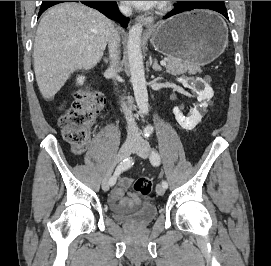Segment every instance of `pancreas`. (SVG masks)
<instances>
[{"label": "pancreas", "instance_id": "1", "mask_svg": "<svg viewBox=\"0 0 271 266\" xmlns=\"http://www.w3.org/2000/svg\"><path fill=\"white\" fill-rule=\"evenodd\" d=\"M166 62H167L165 66L166 72L172 75L183 74L185 72H189L192 74L202 72V69L199 65L192 64L190 62L183 61L180 59L167 58Z\"/></svg>", "mask_w": 271, "mask_h": 266}]
</instances>
